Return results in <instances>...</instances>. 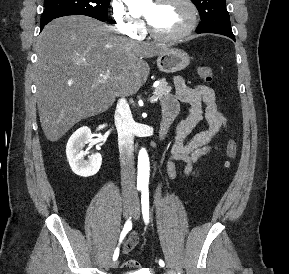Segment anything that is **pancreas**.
Returning a JSON list of instances; mask_svg holds the SVG:
<instances>
[{
	"label": "pancreas",
	"instance_id": "1",
	"mask_svg": "<svg viewBox=\"0 0 289 274\" xmlns=\"http://www.w3.org/2000/svg\"><path fill=\"white\" fill-rule=\"evenodd\" d=\"M172 91V87L168 85L165 79H161L159 85L154 90V95L158 98L167 96Z\"/></svg>",
	"mask_w": 289,
	"mask_h": 274
}]
</instances>
